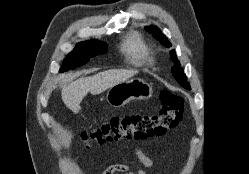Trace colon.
<instances>
[{
	"label": "colon",
	"mask_w": 249,
	"mask_h": 174,
	"mask_svg": "<svg viewBox=\"0 0 249 174\" xmlns=\"http://www.w3.org/2000/svg\"><path fill=\"white\" fill-rule=\"evenodd\" d=\"M161 108L152 113L113 117L81 134L87 144H104L120 139L141 140L162 136L177 126L184 111V99L168 90L160 95Z\"/></svg>",
	"instance_id": "1"
}]
</instances>
